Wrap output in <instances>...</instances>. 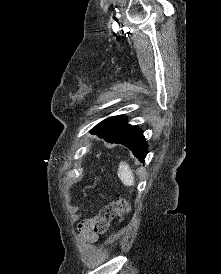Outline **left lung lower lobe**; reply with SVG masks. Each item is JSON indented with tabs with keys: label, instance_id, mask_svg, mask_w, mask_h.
I'll return each instance as SVG.
<instances>
[{
	"label": "left lung lower lobe",
	"instance_id": "0a47b994",
	"mask_svg": "<svg viewBox=\"0 0 221 274\" xmlns=\"http://www.w3.org/2000/svg\"><path fill=\"white\" fill-rule=\"evenodd\" d=\"M90 133L104 138L108 143L125 145L142 162H144L148 153V145L142 130L136 126L129 125L123 115L103 120L91 129Z\"/></svg>",
	"mask_w": 221,
	"mask_h": 274
}]
</instances>
